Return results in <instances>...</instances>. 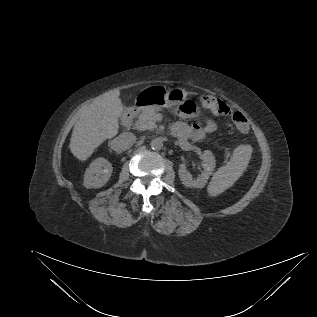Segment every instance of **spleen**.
I'll return each mask as SVG.
<instances>
[{
    "label": "spleen",
    "instance_id": "1",
    "mask_svg": "<svg viewBox=\"0 0 317 317\" xmlns=\"http://www.w3.org/2000/svg\"><path fill=\"white\" fill-rule=\"evenodd\" d=\"M251 153L250 145H240L235 148L231 159L213 175L207 188L208 194L217 196L231 187L246 169Z\"/></svg>",
    "mask_w": 317,
    "mask_h": 317
}]
</instances>
